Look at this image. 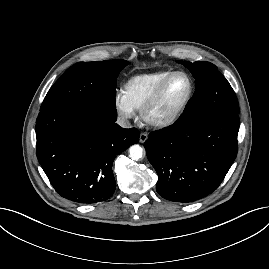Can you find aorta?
<instances>
[{"label":"aorta","mask_w":269,"mask_h":269,"mask_svg":"<svg viewBox=\"0 0 269 269\" xmlns=\"http://www.w3.org/2000/svg\"><path fill=\"white\" fill-rule=\"evenodd\" d=\"M129 156L133 160H139L143 156V149L138 144L132 145L129 148Z\"/></svg>","instance_id":"aorta-1"}]
</instances>
